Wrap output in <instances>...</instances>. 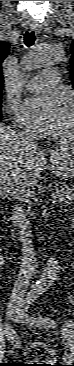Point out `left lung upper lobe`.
I'll list each match as a JSON object with an SVG mask.
<instances>
[{
  "instance_id": "obj_1",
  "label": "left lung upper lobe",
  "mask_w": 74,
  "mask_h": 366,
  "mask_svg": "<svg viewBox=\"0 0 74 366\" xmlns=\"http://www.w3.org/2000/svg\"><path fill=\"white\" fill-rule=\"evenodd\" d=\"M71 52H72V58H71V62H70V65H71V80H72V86L74 88V42H72L71 44Z\"/></svg>"
}]
</instances>
